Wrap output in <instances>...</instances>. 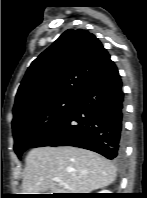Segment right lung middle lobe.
Segmentation results:
<instances>
[{
	"mask_svg": "<svg viewBox=\"0 0 147 198\" xmlns=\"http://www.w3.org/2000/svg\"><path fill=\"white\" fill-rule=\"evenodd\" d=\"M75 99L55 100L40 105L12 121L14 151L22 153L45 137L68 114Z\"/></svg>",
	"mask_w": 147,
	"mask_h": 198,
	"instance_id": "dd1d6c3e",
	"label": "right lung middle lobe"
}]
</instances>
